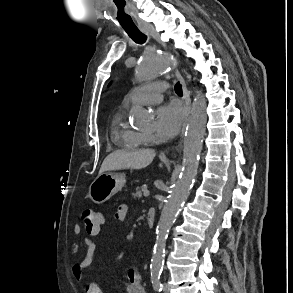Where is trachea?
<instances>
[{
    "label": "trachea",
    "mask_w": 293,
    "mask_h": 293,
    "mask_svg": "<svg viewBox=\"0 0 293 293\" xmlns=\"http://www.w3.org/2000/svg\"><path fill=\"white\" fill-rule=\"evenodd\" d=\"M129 37L136 43L143 44L146 42V35L139 31V29H125ZM176 93H181V85L178 84L175 86Z\"/></svg>",
    "instance_id": "1"
}]
</instances>
